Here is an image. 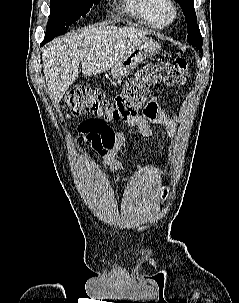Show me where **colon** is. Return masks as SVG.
Wrapping results in <instances>:
<instances>
[{
    "label": "colon",
    "mask_w": 239,
    "mask_h": 303,
    "mask_svg": "<svg viewBox=\"0 0 239 303\" xmlns=\"http://www.w3.org/2000/svg\"><path fill=\"white\" fill-rule=\"evenodd\" d=\"M188 77V64L183 58L145 64L114 98L108 99L99 89L80 87L67 94L66 104L70 115L89 113L98 116L100 119L93 123V130L101 131L106 128L107 122L135 117L148 98L151 87L182 85Z\"/></svg>",
    "instance_id": "5ec220e1"
}]
</instances>
